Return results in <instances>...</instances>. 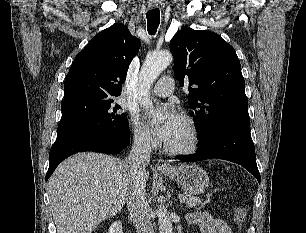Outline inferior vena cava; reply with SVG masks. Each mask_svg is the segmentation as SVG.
I'll use <instances>...</instances> for the list:
<instances>
[{"label":"inferior vena cava","mask_w":306,"mask_h":233,"mask_svg":"<svg viewBox=\"0 0 306 233\" xmlns=\"http://www.w3.org/2000/svg\"><path fill=\"white\" fill-rule=\"evenodd\" d=\"M151 139L147 135L135 136L130 155L126 159L130 166L131 184L127 196L129 215L137 233H154L145 196L143 175L150 162Z\"/></svg>","instance_id":"inferior-vena-cava-1"}]
</instances>
